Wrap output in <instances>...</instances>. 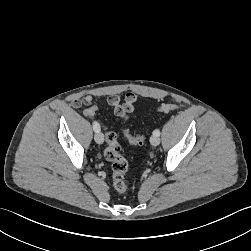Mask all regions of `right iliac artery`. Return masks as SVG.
I'll use <instances>...</instances> for the list:
<instances>
[{"label": "right iliac artery", "mask_w": 251, "mask_h": 251, "mask_svg": "<svg viewBox=\"0 0 251 251\" xmlns=\"http://www.w3.org/2000/svg\"><path fill=\"white\" fill-rule=\"evenodd\" d=\"M93 129L95 132L100 131V126H99L98 122H96V121L93 122Z\"/></svg>", "instance_id": "right-iliac-artery-1"}]
</instances>
